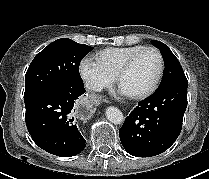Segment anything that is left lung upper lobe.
Masks as SVG:
<instances>
[{
    "label": "left lung upper lobe",
    "mask_w": 209,
    "mask_h": 179,
    "mask_svg": "<svg viewBox=\"0 0 209 179\" xmlns=\"http://www.w3.org/2000/svg\"><path fill=\"white\" fill-rule=\"evenodd\" d=\"M151 43L161 51L165 61L164 76L157 91L177 83H187L184 71L169 47L156 40H152Z\"/></svg>",
    "instance_id": "1"
}]
</instances>
